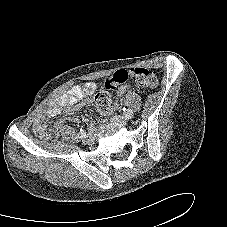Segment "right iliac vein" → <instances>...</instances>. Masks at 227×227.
Returning a JSON list of instances; mask_svg holds the SVG:
<instances>
[{"label": "right iliac vein", "instance_id": "right-iliac-vein-1", "mask_svg": "<svg viewBox=\"0 0 227 227\" xmlns=\"http://www.w3.org/2000/svg\"><path fill=\"white\" fill-rule=\"evenodd\" d=\"M93 137L92 135L88 134V135H85V137H83V141L87 144H92L93 143Z\"/></svg>", "mask_w": 227, "mask_h": 227}]
</instances>
